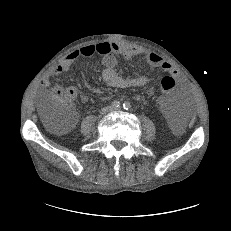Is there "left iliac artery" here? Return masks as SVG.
<instances>
[{"mask_svg":"<svg viewBox=\"0 0 231 231\" xmlns=\"http://www.w3.org/2000/svg\"><path fill=\"white\" fill-rule=\"evenodd\" d=\"M130 107H131V105H130L129 102L123 103V108H124L125 110H128Z\"/></svg>","mask_w":231,"mask_h":231,"instance_id":"obj_1","label":"left iliac artery"}]
</instances>
